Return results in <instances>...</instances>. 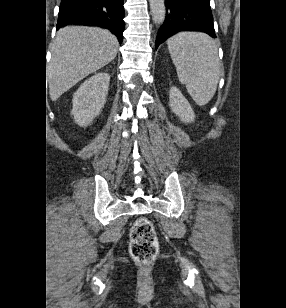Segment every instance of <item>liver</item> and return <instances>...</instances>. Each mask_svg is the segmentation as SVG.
<instances>
[{"label": "liver", "instance_id": "obj_1", "mask_svg": "<svg viewBox=\"0 0 286 308\" xmlns=\"http://www.w3.org/2000/svg\"><path fill=\"white\" fill-rule=\"evenodd\" d=\"M119 43L108 30L68 26L58 30L48 67L49 96L56 101L88 75L110 63Z\"/></svg>", "mask_w": 286, "mask_h": 308}]
</instances>
